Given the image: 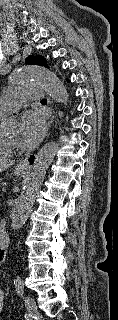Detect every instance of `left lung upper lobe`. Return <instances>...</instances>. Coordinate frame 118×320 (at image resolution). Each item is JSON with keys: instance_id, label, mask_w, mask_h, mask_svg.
Listing matches in <instances>:
<instances>
[{"instance_id": "obj_1", "label": "left lung upper lobe", "mask_w": 118, "mask_h": 320, "mask_svg": "<svg viewBox=\"0 0 118 320\" xmlns=\"http://www.w3.org/2000/svg\"><path fill=\"white\" fill-rule=\"evenodd\" d=\"M26 63L47 66L46 59H44L42 56H30Z\"/></svg>"}]
</instances>
